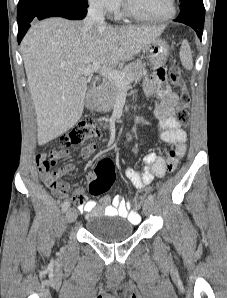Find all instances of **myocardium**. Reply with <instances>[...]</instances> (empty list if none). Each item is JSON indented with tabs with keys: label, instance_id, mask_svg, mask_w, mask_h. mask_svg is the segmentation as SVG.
<instances>
[{
	"label": "myocardium",
	"instance_id": "myocardium-1",
	"mask_svg": "<svg viewBox=\"0 0 227 298\" xmlns=\"http://www.w3.org/2000/svg\"><path fill=\"white\" fill-rule=\"evenodd\" d=\"M169 11L161 16V17H147V16H142L136 12H134L126 3L125 0H123V13L136 21H140V22H147V23H164L167 22L169 20H171L172 18L175 17L176 13H177V3L176 0H169Z\"/></svg>",
	"mask_w": 227,
	"mask_h": 298
}]
</instances>
